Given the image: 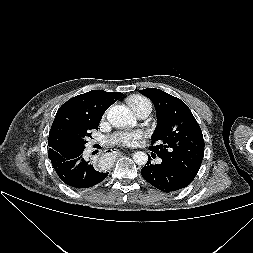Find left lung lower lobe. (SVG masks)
<instances>
[{"label":"left lung lower lobe","instance_id":"0a47b994","mask_svg":"<svg viewBox=\"0 0 253 253\" xmlns=\"http://www.w3.org/2000/svg\"><path fill=\"white\" fill-rule=\"evenodd\" d=\"M150 160L148 156L147 164L141 169V175L149 184L163 192L183 189L194 179L170 162L162 160L161 164L153 165Z\"/></svg>","mask_w":253,"mask_h":253}]
</instances>
